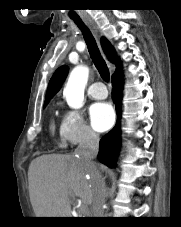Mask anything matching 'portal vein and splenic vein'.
Here are the masks:
<instances>
[{
  "instance_id": "portal-vein-and-splenic-vein-1",
  "label": "portal vein and splenic vein",
  "mask_w": 181,
  "mask_h": 227,
  "mask_svg": "<svg viewBox=\"0 0 181 227\" xmlns=\"http://www.w3.org/2000/svg\"><path fill=\"white\" fill-rule=\"evenodd\" d=\"M81 210H85V206L84 205L81 206Z\"/></svg>"
}]
</instances>
